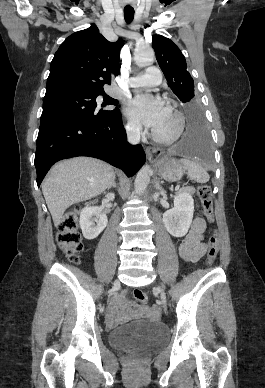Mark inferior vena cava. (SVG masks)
I'll return each instance as SVG.
<instances>
[{"instance_id":"obj_1","label":"inferior vena cava","mask_w":265,"mask_h":388,"mask_svg":"<svg viewBox=\"0 0 265 388\" xmlns=\"http://www.w3.org/2000/svg\"><path fill=\"white\" fill-rule=\"evenodd\" d=\"M140 130L138 126H130L127 130V138L130 144H139L140 142Z\"/></svg>"}]
</instances>
